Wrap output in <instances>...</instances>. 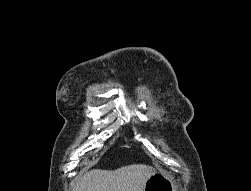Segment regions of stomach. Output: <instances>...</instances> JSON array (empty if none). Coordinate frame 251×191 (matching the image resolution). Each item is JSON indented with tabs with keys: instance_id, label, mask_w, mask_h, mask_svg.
<instances>
[{
	"instance_id": "obj_1",
	"label": "stomach",
	"mask_w": 251,
	"mask_h": 191,
	"mask_svg": "<svg viewBox=\"0 0 251 191\" xmlns=\"http://www.w3.org/2000/svg\"><path fill=\"white\" fill-rule=\"evenodd\" d=\"M144 191H176V187L169 177L161 173H152L144 185Z\"/></svg>"
}]
</instances>
